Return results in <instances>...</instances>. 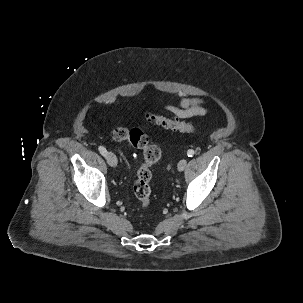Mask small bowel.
Segmentation results:
<instances>
[{"label":"small bowel","mask_w":303,"mask_h":303,"mask_svg":"<svg viewBox=\"0 0 303 303\" xmlns=\"http://www.w3.org/2000/svg\"><path fill=\"white\" fill-rule=\"evenodd\" d=\"M167 108L180 118L202 116L207 112L203 102L197 98H185L179 104L169 105Z\"/></svg>","instance_id":"c3829d8e"}]
</instances>
